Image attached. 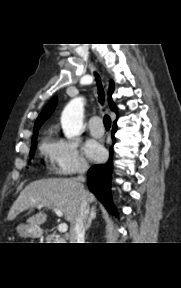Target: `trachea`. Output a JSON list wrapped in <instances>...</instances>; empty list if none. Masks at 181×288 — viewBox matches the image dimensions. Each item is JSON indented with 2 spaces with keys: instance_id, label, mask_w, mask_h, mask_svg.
I'll return each instance as SVG.
<instances>
[{
  "instance_id": "trachea-1",
  "label": "trachea",
  "mask_w": 181,
  "mask_h": 288,
  "mask_svg": "<svg viewBox=\"0 0 181 288\" xmlns=\"http://www.w3.org/2000/svg\"><path fill=\"white\" fill-rule=\"evenodd\" d=\"M95 77H96V82H97V86H98L99 102L101 104H103V102H104V91H103V88H102L101 80H100V77L98 76V74H96V73H95ZM103 123H104V126H105L106 129H110L111 119H110V117L108 115L104 116Z\"/></svg>"
}]
</instances>
